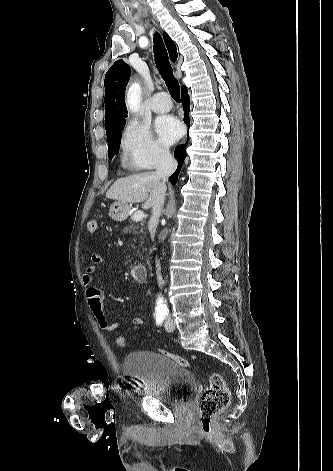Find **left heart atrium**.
Returning a JSON list of instances; mask_svg holds the SVG:
<instances>
[{"instance_id":"obj_1","label":"left heart atrium","mask_w":333,"mask_h":471,"mask_svg":"<svg viewBox=\"0 0 333 471\" xmlns=\"http://www.w3.org/2000/svg\"><path fill=\"white\" fill-rule=\"evenodd\" d=\"M156 130L161 140L166 144L173 143L182 134V126L180 122L170 116L158 119Z\"/></svg>"}]
</instances>
